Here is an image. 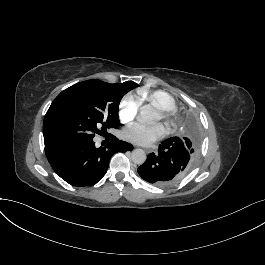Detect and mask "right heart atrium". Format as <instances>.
<instances>
[{"instance_id": "1", "label": "right heart atrium", "mask_w": 265, "mask_h": 265, "mask_svg": "<svg viewBox=\"0 0 265 265\" xmlns=\"http://www.w3.org/2000/svg\"><path fill=\"white\" fill-rule=\"evenodd\" d=\"M141 101L132 93L127 94L121 101L119 116L123 123L131 122L138 114Z\"/></svg>"}]
</instances>
